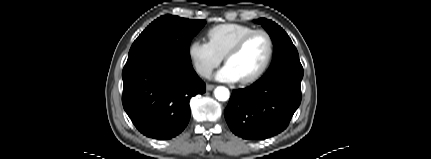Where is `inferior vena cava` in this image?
Here are the masks:
<instances>
[{"instance_id":"602c4592","label":"inferior vena cava","mask_w":431,"mask_h":159,"mask_svg":"<svg viewBox=\"0 0 431 159\" xmlns=\"http://www.w3.org/2000/svg\"><path fill=\"white\" fill-rule=\"evenodd\" d=\"M198 73L205 78H209L212 74V69L209 67L200 68Z\"/></svg>"}]
</instances>
